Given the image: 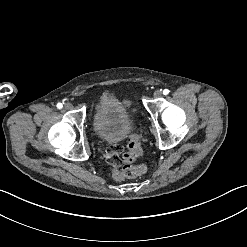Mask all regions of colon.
I'll return each mask as SVG.
<instances>
[{"mask_svg":"<svg viewBox=\"0 0 247 247\" xmlns=\"http://www.w3.org/2000/svg\"><path fill=\"white\" fill-rule=\"evenodd\" d=\"M128 148L133 153L126 152L123 154L122 159L125 164L132 163L134 161V157L136 161L137 156H139L141 153L140 139L137 134H132L130 136ZM147 166L148 163L146 161L139 162L138 166H134L133 164L129 172L116 170L113 174V179L115 181H120L121 179H123L124 181H131L132 179L144 178L147 175Z\"/></svg>","mask_w":247,"mask_h":247,"instance_id":"1","label":"colon"}]
</instances>
